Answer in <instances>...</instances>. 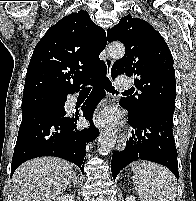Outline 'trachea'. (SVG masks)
Masks as SVG:
<instances>
[{
  "label": "trachea",
  "instance_id": "trachea-1",
  "mask_svg": "<svg viewBox=\"0 0 196 201\" xmlns=\"http://www.w3.org/2000/svg\"><path fill=\"white\" fill-rule=\"evenodd\" d=\"M103 87L105 90H107L110 93H116L114 87L112 86L111 81L108 78H105L103 81ZM90 88H86V90H89Z\"/></svg>",
  "mask_w": 196,
  "mask_h": 201
}]
</instances>
